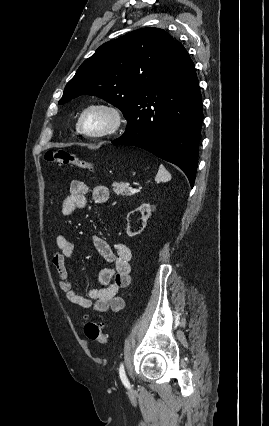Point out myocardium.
Returning a JSON list of instances; mask_svg holds the SVG:
<instances>
[{"label": "myocardium", "mask_w": 269, "mask_h": 426, "mask_svg": "<svg viewBox=\"0 0 269 426\" xmlns=\"http://www.w3.org/2000/svg\"><path fill=\"white\" fill-rule=\"evenodd\" d=\"M91 111H102L108 115L109 123L104 129L99 131L86 130L84 127V118ZM123 123L124 116L118 107L107 103H93L83 109L78 118L77 127L79 132L86 137L103 138L117 133L121 129Z\"/></svg>", "instance_id": "myocardium-1"}]
</instances>
